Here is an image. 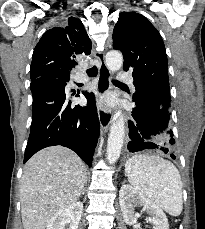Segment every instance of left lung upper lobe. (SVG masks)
I'll return each mask as SVG.
<instances>
[{
	"label": "left lung upper lobe",
	"mask_w": 205,
	"mask_h": 229,
	"mask_svg": "<svg viewBox=\"0 0 205 229\" xmlns=\"http://www.w3.org/2000/svg\"><path fill=\"white\" fill-rule=\"evenodd\" d=\"M113 48L123 54L125 71H132L134 102L157 99L170 108L168 62L160 33L143 15L122 12L113 31Z\"/></svg>",
	"instance_id": "5c2ea615"
}]
</instances>
